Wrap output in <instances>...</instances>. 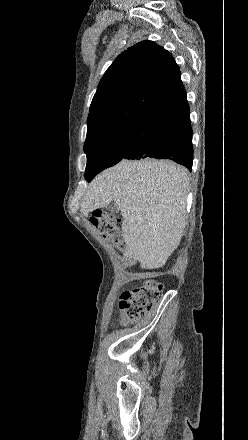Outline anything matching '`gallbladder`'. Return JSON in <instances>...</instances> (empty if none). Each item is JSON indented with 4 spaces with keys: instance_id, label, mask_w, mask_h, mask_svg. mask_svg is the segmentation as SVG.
Here are the masks:
<instances>
[{
    "instance_id": "obj_1",
    "label": "gallbladder",
    "mask_w": 248,
    "mask_h": 440,
    "mask_svg": "<svg viewBox=\"0 0 248 440\" xmlns=\"http://www.w3.org/2000/svg\"><path fill=\"white\" fill-rule=\"evenodd\" d=\"M107 210L110 211V213H115L119 210V208L116 204H111L107 207Z\"/></svg>"
}]
</instances>
